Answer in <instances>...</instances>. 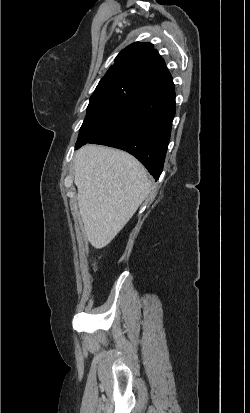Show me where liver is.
I'll return each mask as SVG.
<instances>
[{
  "mask_svg": "<svg viewBox=\"0 0 250 413\" xmlns=\"http://www.w3.org/2000/svg\"><path fill=\"white\" fill-rule=\"evenodd\" d=\"M74 182L85 234L96 249L115 238L151 190L147 171L136 158L97 145L75 153Z\"/></svg>",
  "mask_w": 250,
  "mask_h": 413,
  "instance_id": "1",
  "label": "liver"
}]
</instances>
